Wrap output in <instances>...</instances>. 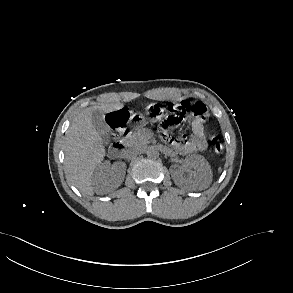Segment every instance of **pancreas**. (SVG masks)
Listing matches in <instances>:
<instances>
[{
  "instance_id": "cf45deb5",
  "label": "pancreas",
  "mask_w": 293,
  "mask_h": 293,
  "mask_svg": "<svg viewBox=\"0 0 293 293\" xmlns=\"http://www.w3.org/2000/svg\"><path fill=\"white\" fill-rule=\"evenodd\" d=\"M151 135L152 132L149 129L140 128L127 138V143L129 146L142 147L148 143Z\"/></svg>"
}]
</instances>
